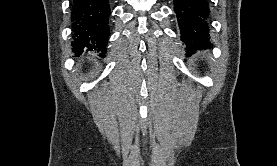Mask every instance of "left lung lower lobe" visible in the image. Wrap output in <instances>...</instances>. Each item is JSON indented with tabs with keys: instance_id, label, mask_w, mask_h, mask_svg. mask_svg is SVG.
I'll list each match as a JSON object with an SVG mask.
<instances>
[{
	"instance_id": "obj_1",
	"label": "left lung lower lobe",
	"mask_w": 277,
	"mask_h": 166,
	"mask_svg": "<svg viewBox=\"0 0 277 166\" xmlns=\"http://www.w3.org/2000/svg\"><path fill=\"white\" fill-rule=\"evenodd\" d=\"M174 11L181 38L188 52L211 46L209 38L207 0H174Z\"/></svg>"
}]
</instances>
